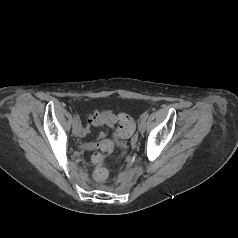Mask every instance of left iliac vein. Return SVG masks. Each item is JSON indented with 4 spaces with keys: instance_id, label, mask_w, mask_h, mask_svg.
<instances>
[{
    "instance_id": "left-iliac-vein-1",
    "label": "left iliac vein",
    "mask_w": 238,
    "mask_h": 238,
    "mask_svg": "<svg viewBox=\"0 0 238 238\" xmlns=\"http://www.w3.org/2000/svg\"><path fill=\"white\" fill-rule=\"evenodd\" d=\"M138 130L140 133H143L145 131V121L142 119L139 122Z\"/></svg>"
}]
</instances>
